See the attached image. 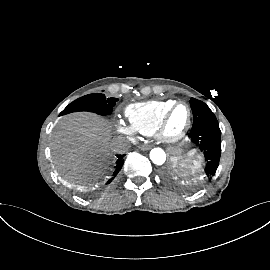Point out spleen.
Returning <instances> with one entry per match:
<instances>
[{
	"mask_svg": "<svg viewBox=\"0 0 270 270\" xmlns=\"http://www.w3.org/2000/svg\"><path fill=\"white\" fill-rule=\"evenodd\" d=\"M182 165H183L184 167H187V165H186V163H185V160H182Z\"/></svg>",
	"mask_w": 270,
	"mask_h": 270,
	"instance_id": "1",
	"label": "spleen"
}]
</instances>
